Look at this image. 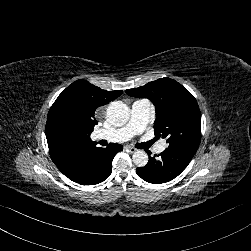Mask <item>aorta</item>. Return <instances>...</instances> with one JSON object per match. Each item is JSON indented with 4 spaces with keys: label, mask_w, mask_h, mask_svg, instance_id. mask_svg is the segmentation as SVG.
I'll return each instance as SVG.
<instances>
[{
    "label": "aorta",
    "mask_w": 251,
    "mask_h": 251,
    "mask_svg": "<svg viewBox=\"0 0 251 251\" xmlns=\"http://www.w3.org/2000/svg\"><path fill=\"white\" fill-rule=\"evenodd\" d=\"M129 119V108L121 101H114L109 104L106 111V121L112 125L121 127L128 122ZM133 163L137 167H144L148 163V155L142 150H137L132 156Z\"/></svg>",
    "instance_id": "aorta-1"
}]
</instances>
